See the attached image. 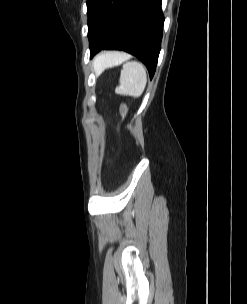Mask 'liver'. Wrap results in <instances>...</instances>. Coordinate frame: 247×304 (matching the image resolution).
<instances>
[{
	"label": "liver",
	"mask_w": 247,
	"mask_h": 304,
	"mask_svg": "<svg viewBox=\"0 0 247 304\" xmlns=\"http://www.w3.org/2000/svg\"><path fill=\"white\" fill-rule=\"evenodd\" d=\"M114 54H117V53H106V54L100 56V57L95 61V64H94L95 68H96V69H100V67H101L103 61L106 59V57H108V56H110V55H114Z\"/></svg>",
	"instance_id": "1"
}]
</instances>
